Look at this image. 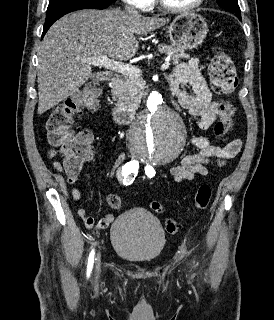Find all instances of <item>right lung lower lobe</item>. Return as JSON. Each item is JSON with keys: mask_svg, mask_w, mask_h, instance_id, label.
I'll use <instances>...</instances> for the list:
<instances>
[{"mask_svg": "<svg viewBox=\"0 0 274 320\" xmlns=\"http://www.w3.org/2000/svg\"><path fill=\"white\" fill-rule=\"evenodd\" d=\"M115 1H92V2H83V3H77V4H70L66 5L64 7L58 8L56 10H53L51 12H47L46 14V20L44 24V29L42 33V37H44L45 33L47 30L50 28V26L59 18L64 16L67 13L76 11V10H81V9H89V8H94V9H105L107 8L111 3Z\"/></svg>", "mask_w": 274, "mask_h": 320, "instance_id": "98d812e1", "label": "right lung lower lobe"}]
</instances>
